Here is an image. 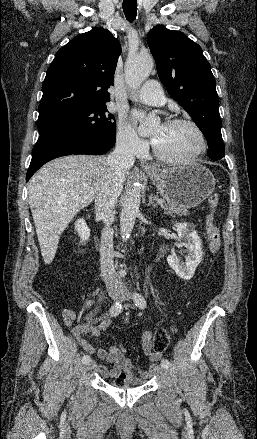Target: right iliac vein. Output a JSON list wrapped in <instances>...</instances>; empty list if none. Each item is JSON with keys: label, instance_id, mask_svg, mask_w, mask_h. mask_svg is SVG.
Segmentation results:
<instances>
[{"label": "right iliac vein", "instance_id": "1", "mask_svg": "<svg viewBox=\"0 0 257 439\" xmlns=\"http://www.w3.org/2000/svg\"><path fill=\"white\" fill-rule=\"evenodd\" d=\"M109 296L112 298V299H115V298H117L118 297V293L117 292H110L109 293ZM92 366H93V362L92 361H89L88 363H85L84 364V369L87 371V370H90L91 368H92Z\"/></svg>", "mask_w": 257, "mask_h": 439}]
</instances>
